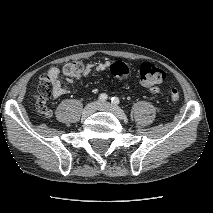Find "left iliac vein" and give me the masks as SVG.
<instances>
[{"mask_svg":"<svg viewBox=\"0 0 213 213\" xmlns=\"http://www.w3.org/2000/svg\"><path fill=\"white\" fill-rule=\"evenodd\" d=\"M99 110L107 111L113 113L119 119H125L126 115L124 111L117 105L111 104L109 102L100 103L98 106Z\"/></svg>","mask_w":213,"mask_h":213,"instance_id":"obj_1","label":"left iliac vein"}]
</instances>
